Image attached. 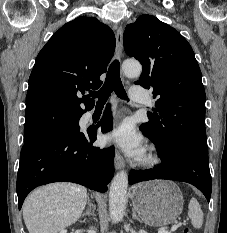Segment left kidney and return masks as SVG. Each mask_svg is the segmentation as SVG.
Here are the masks:
<instances>
[{
  "label": "left kidney",
  "mask_w": 227,
  "mask_h": 233,
  "mask_svg": "<svg viewBox=\"0 0 227 233\" xmlns=\"http://www.w3.org/2000/svg\"><path fill=\"white\" fill-rule=\"evenodd\" d=\"M158 233H169V232H167L165 230H160Z\"/></svg>",
  "instance_id": "left-kidney-1"
}]
</instances>
